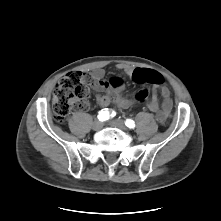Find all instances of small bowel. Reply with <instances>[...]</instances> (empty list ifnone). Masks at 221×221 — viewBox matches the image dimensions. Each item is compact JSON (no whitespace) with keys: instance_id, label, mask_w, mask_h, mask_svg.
Listing matches in <instances>:
<instances>
[{"instance_id":"small-bowel-1","label":"small bowel","mask_w":221,"mask_h":221,"mask_svg":"<svg viewBox=\"0 0 221 221\" xmlns=\"http://www.w3.org/2000/svg\"><path fill=\"white\" fill-rule=\"evenodd\" d=\"M118 68L124 71L126 74L131 75L136 69L126 65H118ZM146 70V69H142ZM105 73L102 69H95L89 75V81L93 87L97 90H111L114 89L116 92L114 95L104 94L97 96V103L101 107H106L110 103L114 102L120 108H127L132 104V100L122 94L124 83L120 78H112L110 80L104 79ZM139 84L147 83L144 79L135 81ZM157 93L161 97L159 101ZM146 107L149 111L155 114L156 120L159 122L166 121L171 114L172 99L170 97L169 89L165 86L156 87L153 97L147 102Z\"/></svg>"}]
</instances>
